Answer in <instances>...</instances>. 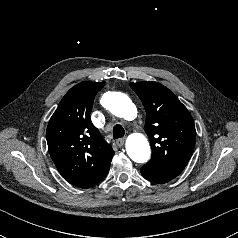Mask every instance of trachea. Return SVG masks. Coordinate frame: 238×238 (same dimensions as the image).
Instances as JSON below:
<instances>
[{
  "label": "trachea",
  "instance_id": "trachea-1",
  "mask_svg": "<svg viewBox=\"0 0 238 238\" xmlns=\"http://www.w3.org/2000/svg\"><path fill=\"white\" fill-rule=\"evenodd\" d=\"M124 133L125 131L121 125L117 124L113 127V139L122 138Z\"/></svg>",
  "mask_w": 238,
  "mask_h": 238
}]
</instances>
